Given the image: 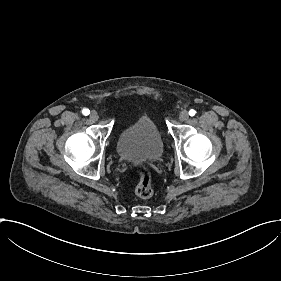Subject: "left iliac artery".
<instances>
[{
  "mask_svg": "<svg viewBox=\"0 0 281 281\" xmlns=\"http://www.w3.org/2000/svg\"><path fill=\"white\" fill-rule=\"evenodd\" d=\"M195 114H196V111H195V110L191 109V110L189 111V115H190V116H194Z\"/></svg>",
  "mask_w": 281,
  "mask_h": 281,
  "instance_id": "1",
  "label": "left iliac artery"
}]
</instances>
